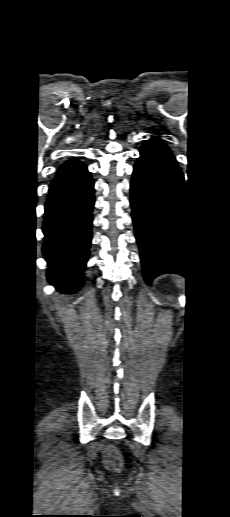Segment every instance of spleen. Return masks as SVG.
Listing matches in <instances>:
<instances>
[{
	"instance_id": "1",
	"label": "spleen",
	"mask_w": 230,
	"mask_h": 517,
	"mask_svg": "<svg viewBox=\"0 0 230 517\" xmlns=\"http://www.w3.org/2000/svg\"><path fill=\"white\" fill-rule=\"evenodd\" d=\"M177 283H178V284H179V286H180L181 281H177Z\"/></svg>"
}]
</instances>
